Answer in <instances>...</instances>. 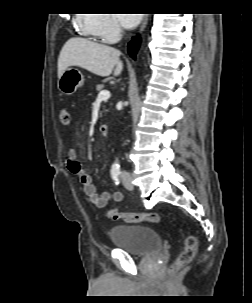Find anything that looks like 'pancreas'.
Returning <instances> with one entry per match:
<instances>
[{"mask_svg": "<svg viewBox=\"0 0 252 303\" xmlns=\"http://www.w3.org/2000/svg\"><path fill=\"white\" fill-rule=\"evenodd\" d=\"M104 89V85L103 84H98L97 86H96V91L97 92H100V91H102Z\"/></svg>", "mask_w": 252, "mask_h": 303, "instance_id": "pancreas-1", "label": "pancreas"}]
</instances>
